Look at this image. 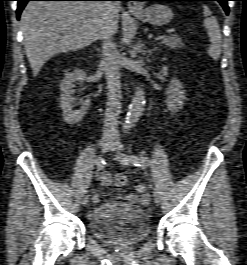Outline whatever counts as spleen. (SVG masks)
<instances>
[{
  "label": "spleen",
  "mask_w": 247,
  "mask_h": 265,
  "mask_svg": "<svg viewBox=\"0 0 247 265\" xmlns=\"http://www.w3.org/2000/svg\"><path fill=\"white\" fill-rule=\"evenodd\" d=\"M203 11L205 16L204 26L208 30V36L211 43L208 48V54L212 59L218 60L222 47L220 27L216 18L212 16V13L207 6L204 5Z\"/></svg>",
  "instance_id": "1"
}]
</instances>
